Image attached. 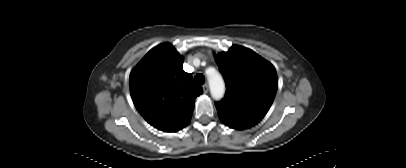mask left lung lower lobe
I'll list each match as a JSON object with an SVG mask.
<instances>
[{
  "mask_svg": "<svg viewBox=\"0 0 406 168\" xmlns=\"http://www.w3.org/2000/svg\"><path fill=\"white\" fill-rule=\"evenodd\" d=\"M220 120L230 128L234 129H247L255 125V123L239 119V118H234L231 116L223 115V114H218Z\"/></svg>",
  "mask_w": 406,
  "mask_h": 168,
  "instance_id": "0a47b994",
  "label": "left lung lower lobe"
}]
</instances>
